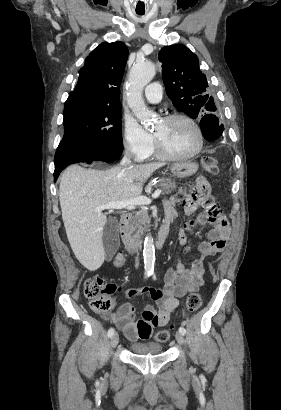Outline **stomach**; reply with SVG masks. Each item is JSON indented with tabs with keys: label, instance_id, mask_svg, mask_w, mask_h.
I'll list each match as a JSON object with an SVG mask.
<instances>
[{
	"label": "stomach",
	"instance_id": "0dacf381",
	"mask_svg": "<svg viewBox=\"0 0 281 410\" xmlns=\"http://www.w3.org/2000/svg\"><path fill=\"white\" fill-rule=\"evenodd\" d=\"M170 170L173 176L178 178H185L195 174L198 170V165L192 161H184L173 164L170 167Z\"/></svg>",
	"mask_w": 281,
	"mask_h": 410
}]
</instances>
